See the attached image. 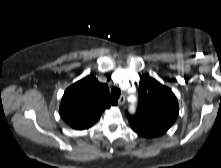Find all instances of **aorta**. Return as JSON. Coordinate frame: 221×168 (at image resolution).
I'll return each mask as SVG.
<instances>
[{
	"mask_svg": "<svg viewBox=\"0 0 221 168\" xmlns=\"http://www.w3.org/2000/svg\"><path fill=\"white\" fill-rule=\"evenodd\" d=\"M135 111V106L134 105H131L129 107V112L133 113Z\"/></svg>",
	"mask_w": 221,
	"mask_h": 168,
	"instance_id": "1",
	"label": "aorta"
}]
</instances>
